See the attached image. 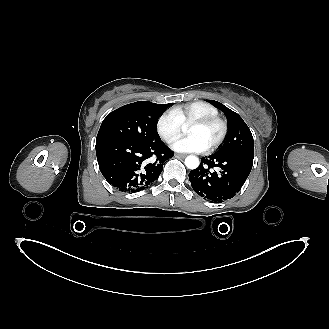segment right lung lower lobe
I'll return each instance as SVG.
<instances>
[{"label": "right lung lower lobe", "instance_id": "98d812e1", "mask_svg": "<svg viewBox=\"0 0 329 329\" xmlns=\"http://www.w3.org/2000/svg\"><path fill=\"white\" fill-rule=\"evenodd\" d=\"M99 169L118 191L135 193L148 188L158 179L163 163L173 152L160 140L142 143L113 137L96 140ZM153 155L154 162L148 161Z\"/></svg>", "mask_w": 329, "mask_h": 329}]
</instances>
